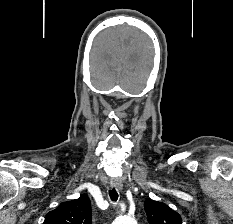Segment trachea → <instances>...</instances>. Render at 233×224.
<instances>
[{
  "mask_svg": "<svg viewBox=\"0 0 233 224\" xmlns=\"http://www.w3.org/2000/svg\"><path fill=\"white\" fill-rule=\"evenodd\" d=\"M109 196H110V198H111V200H112L113 202H116V201H117V199H118V193H117V191L115 190V188H113L112 190L109 191Z\"/></svg>",
  "mask_w": 233,
  "mask_h": 224,
  "instance_id": "trachea-1",
  "label": "trachea"
}]
</instances>
